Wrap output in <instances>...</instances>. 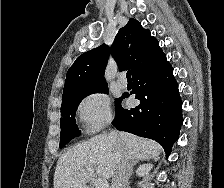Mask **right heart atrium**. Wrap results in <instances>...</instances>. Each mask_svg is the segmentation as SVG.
Returning <instances> with one entry per match:
<instances>
[{"label": "right heart atrium", "mask_w": 224, "mask_h": 188, "mask_svg": "<svg viewBox=\"0 0 224 188\" xmlns=\"http://www.w3.org/2000/svg\"><path fill=\"white\" fill-rule=\"evenodd\" d=\"M80 121L88 133H96L112 121L110 99L94 92L82 99L78 106Z\"/></svg>", "instance_id": "1"}]
</instances>
